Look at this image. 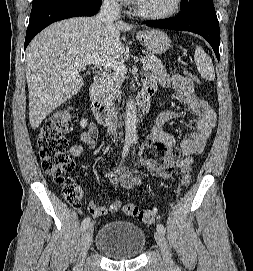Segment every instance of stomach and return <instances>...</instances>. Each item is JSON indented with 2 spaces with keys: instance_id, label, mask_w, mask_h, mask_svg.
Instances as JSON below:
<instances>
[{
  "instance_id": "1",
  "label": "stomach",
  "mask_w": 253,
  "mask_h": 271,
  "mask_svg": "<svg viewBox=\"0 0 253 271\" xmlns=\"http://www.w3.org/2000/svg\"><path fill=\"white\" fill-rule=\"evenodd\" d=\"M138 40L150 54H161L169 49L171 40L168 35L157 29H151L137 34Z\"/></svg>"
}]
</instances>
